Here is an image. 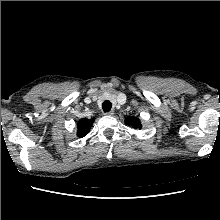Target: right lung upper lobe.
<instances>
[{
    "mask_svg": "<svg viewBox=\"0 0 220 220\" xmlns=\"http://www.w3.org/2000/svg\"><path fill=\"white\" fill-rule=\"evenodd\" d=\"M94 122V118L92 119H82L78 123V132L77 136L78 137H84L90 130L92 124Z\"/></svg>",
    "mask_w": 220,
    "mask_h": 220,
    "instance_id": "right-lung-upper-lobe-1",
    "label": "right lung upper lobe"
}]
</instances>
